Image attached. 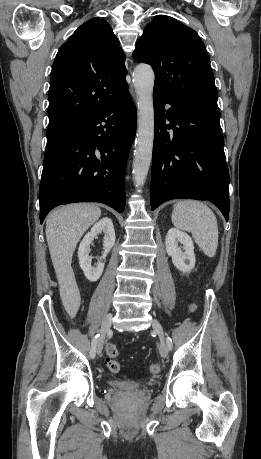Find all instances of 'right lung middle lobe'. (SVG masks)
I'll list each match as a JSON object with an SVG mask.
<instances>
[{
  "label": "right lung middle lobe",
  "instance_id": "dd1d6c3e",
  "mask_svg": "<svg viewBox=\"0 0 261 459\" xmlns=\"http://www.w3.org/2000/svg\"><path fill=\"white\" fill-rule=\"evenodd\" d=\"M80 123L76 122H64L48 126L47 129V146L46 148L52 147L53 145L60 142L73 130H75Z\"/></svg>",
  "mask_w": 261,
  "mask_h": 459
}]
</instances>
